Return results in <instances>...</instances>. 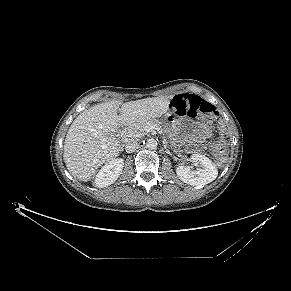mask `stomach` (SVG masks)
<instances>
[{
    "instance_id": "obj_1",
    "label": "stomach",
    "mask_w": 291,
    "mask_h": 291,
    "mask_svg": "<svg viewBox=\"0 0 291 291\" xmlns=\"http://www.w3.org/2000/svg\"><path fill=\"white\" fill-rule=\"evenodd\" d=\"M163 120L168 124H176L179 126L188 127L190 130V135L196 139H204L209 133L207 127L188 117L166 114L163 117Z\"/></svg>"
}]
</instances>
